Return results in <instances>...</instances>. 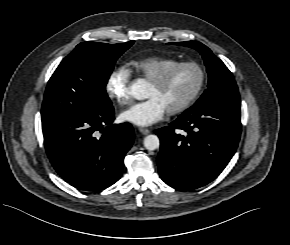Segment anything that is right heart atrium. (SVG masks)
Masks as SVG:
<instances>
[{
	"label": "right heart atrium",
	"instance_id": "obj_1",
	"mask_svg": "<svg viewBox=\"0 0 290 245\" xmlns=\"http://www.w3.org/2000/svg\"><path fill=\"white\" fill-rule=\"evenodd\" d=\"M130 72L124 66L112 71L106 82L108 96L120 106L129 105L132 101L130 95Z\"/></svg>",
	"mask_w": 290,
	"mask_h": 245
}]
</instances>
